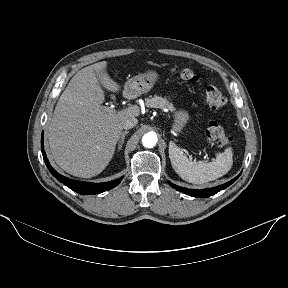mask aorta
<instances>
[{
  "mask_svg": "<svg viewBox=\"0 0 288 288\" xmlns=\"http://www.w3.org/2000/svg\"><path fill=\"white\" fill-rule=\"evenodd\" d=\"M143 146L146 148H153L157 143V136L156 134L149 132L146 133L142 138Z\"/></svg>",
  "mask_w": 288,
  "mask_h": 288,
  "instance_id": "762f6f07",
  "label": "aorta"
}]
</instances>
